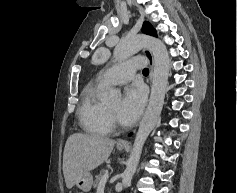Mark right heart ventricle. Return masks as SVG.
Instances as JSON below:
<instances>
[{"label": "right heart ventricle", "mask_w": 237, "mask_h": 193, "mask_svg": "<svg viewBox=\"0 0 237 193\" xmlns=\"http://www.w3.org/2000/svg\"><path fill=\"white\" fill-rule=\"evenodd\" d=\"M104 84L96 81L87 84L81 93L78 117L83 129L92 135H107L111 131L106 115V107L100 100Z\"/></svg>", "instance_id": "e07e8e85"}]
</instances>
